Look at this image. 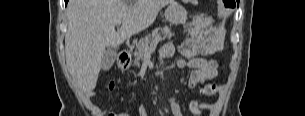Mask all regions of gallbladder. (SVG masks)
<instances>
[{"label":"gallbladder","mask_w":305,"mask_h":116,"mask_svg":"<svg viewBox=\"0 0 305 116\" xmlns=\"http://www.w3.org/2000/svg\"><path fill=\"white\" fill-rule=\"evenodd\" d=\"M117 57L115 50L109 49L106 50L102 56L101 66L104 70H109Z\"/></svg>","instance_id":"gallbladder-1"}]
</instances>
